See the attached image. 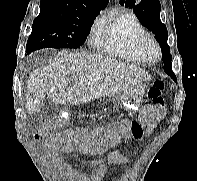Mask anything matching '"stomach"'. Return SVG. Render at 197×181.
I'll list each match as a JSON object with an SVG mask.
<instances>
[{"label": "stomach", "mask_w": 197, "mask_h": 181, "mask_svg": "<svg viewBox=\"0 0 197 181\" xmlns=\"http://www.w3.org/2000/svg\"><path fill=\"white\" fill-rule=\"evenodd\" d=\"M146 85L140 83L122 93H118L114 96L113 100H116L120 108L133 112L140 108L145 93Z\"/></svg>", "instance_id": "1"}]
</instances>
